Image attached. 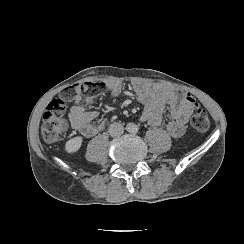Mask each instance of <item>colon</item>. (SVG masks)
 <instances>
[{
  "instance_id": "5ec220e1",
  "label": "colon",
  "mask_w": 244,
  "mask_h": 244,
  "mask_svg": "<svg viewBox=\"0 0 244 244\" xmlns=\"http://www.w3.org/2000/svg\"><path fill=\"white\" fill-rule=\"evenodd\" d=\"M104 89L103 84H81L69 87L63 92L64 98L72 95L81 98L87 103L97 100ZM67 110V101L62 97L53 99L46 107L41 121V135L49 142L59 141L68 128V121L64 115ZM192 126L198 131H206L210 126L208 113L201 107H196L191 117Z\"/></svg>"
}]
</instances>
